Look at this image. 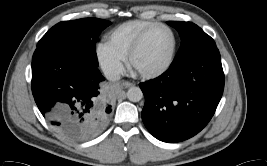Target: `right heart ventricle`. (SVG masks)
Instances as JSON below:
<instances>
[{"instance_id":"obj_1","label":"right heart ventricle","mask_w":267,"mask_h":166,"mask_svg":"<svg viewBox=\"0 0 267 166\" xmlns=\"http://www.w3.org/2000/svg\"><path fill=\"white\" fill-rule=\"evenodd\" d=\"M157 24L149 20H131L115 27L108 35L109 45L125 58L138 37L147 29Z\"/></svg>"}]
</instances>
